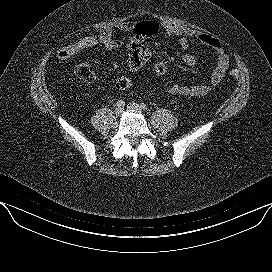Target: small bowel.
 I'll list each match as a JSON object with an SVG mask.
<instances>
[{"instance_id": "1", "label": "small bowel", "mask_w": 272, "mask_h": 272, "mask_svg": "<svg viewBox=\"0 0 272 272\" xmlns=\"http://www.w3.org/2000/svg\"><path fill=\"white\" fill-rule=\"evenodd\" d=\"M135 25L131 22H120L115 26H107L100 33L111 41L108 50H117L122 46L127 49V64L130 70L137 71L143 67L151 56L150 49L139 36L134 32ZM168 36L177 37V43L182 49L189 47V39H194L210 47L216 55V66L213 69L207 83L189 86L182 83H174L169 87L172 95L186 96L192 98L203 97L212 92L223 79L228 66L229 57L222 43L215 37L201 31L182 27L174 23L165 22L162 25ZM118 29L128 34L125 41L114 37L113 31ZM182 61L188 66H196L198 57L195 54L184 52L181 55Z\"/></svg>"}]
</instances>
